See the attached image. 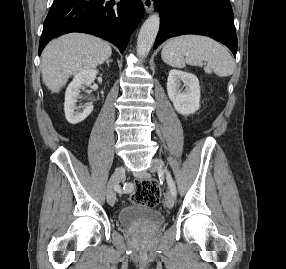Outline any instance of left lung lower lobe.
<instances>
[{
	"label": "left lung lower lobe",
	"instance_id": "obj_1",
	"mask_svg": "<svg viewBox=\"0 0 286 269\" xmlns=\"http://www.w3.org/2000/svg\"><path fill=\"white\" fill-rule=\"evenodd\" d=\"M160 12L154 48L168 38L199 34L226 45L236 56L237 36L229 0H153Z\"/></svg>",
	"mask_w": 286,
	"mask_h": 269
}]
</instances>
